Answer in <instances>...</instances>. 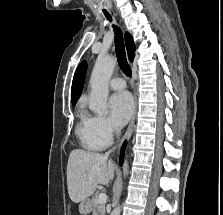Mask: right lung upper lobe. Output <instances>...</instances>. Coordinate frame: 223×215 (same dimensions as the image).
Returning <instances> with one entry per match:
<instances>
[{"label": "right lung upper lobe", "mask_w": 223, "mask_h": 215, "mask_svg": "<svg viewBox=\"0 0 223 215\" xmlns=\"http://www.w3.org/2000/svg\"><path fill=\"white\" fill-rule=\"evenodd\" d=\"M125 42L128 51L129 60L132 61L135 56V44L133 42L132 36L129 33L125 34ZM87 64L86 62H82L74 75L73 83H72V105H75L77 100L80 97L81 91L83 89L85 74H86Z\"/></svg>", "instance_id": "cb5924a9"}]
</instances>
